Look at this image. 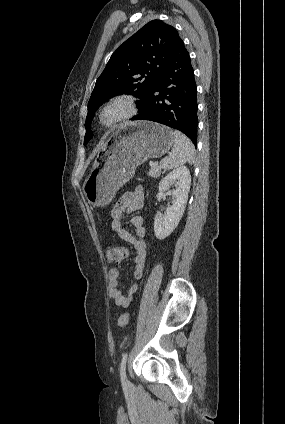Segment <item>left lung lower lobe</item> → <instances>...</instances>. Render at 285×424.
<instances>
[{
    "label": "left lung lower lobe",
    "mask_w": 285,
    "mask_h": 424,
    "mask_svg": "<svg viewBox=\"0 0 285 424\" xmlns=\"http://www.w3.org/2000/svg\"><path fill=\"white\" fill-rule=\"evenodd\" d=\"M197 86L190 56L182 39L159 80L139 105L133 120H149L183 132L197 143Z\"/></svg>",
    "instance_id": "obj_1"
}]
</instances>
